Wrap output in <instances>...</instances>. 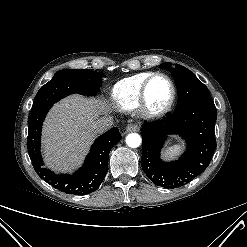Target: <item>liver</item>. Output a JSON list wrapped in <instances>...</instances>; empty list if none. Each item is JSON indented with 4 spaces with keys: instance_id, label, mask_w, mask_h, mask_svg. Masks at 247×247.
<instances>
[{
    "instance_id": "1",
    "label": "liver",
    "mask_w": 247,
    "mask_h": 247,
    "mask_svg": "<svg viewBox=\"0 0 247 247\" xmlns=\"http://www.w3.org/2000/svg\"><path fill=\"white\" fill-rule=\"evenodd\" d=\"M109 111L103 99L71 95L56 103L43 126V153L49 168L70 171L81 164L96 137L91 125Z\"/></svg>"
}]
</instances>
